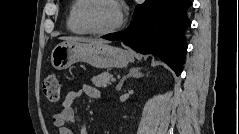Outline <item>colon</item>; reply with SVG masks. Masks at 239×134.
I'll return each mask as SVG.
<instances>
[{"mask_svg":"<svg viewBox=\"0 0 239 134\" xmlns=\"http://www.w3.org/2000/svg\"><path fill=\"white\" fill-rule=\"evenodd\" d=\"M43 92L50 103L56 104L60 100L61 81L56 75H49L43 83Z\"/></svg>","mask_w":239,"mask_h":134,"instance_id":"5ec220e1","label":"colon"}]
</instances>
